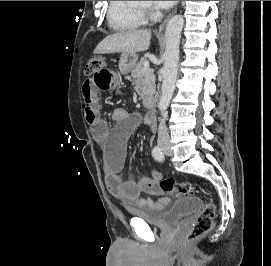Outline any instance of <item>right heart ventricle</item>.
<instances>
[{
	"instance_id": "1",
	"label": "right heart ventricle",
	"mask_w": 271,
	"mask_h": 266,
	"mask_svg": "<svg viewBox=\"0 0 271 266\" xmlns=\"http://www.w3.org/2000/svg\"><path fill=\"white\" fill-rule=\"evenodd\" d=\"M108 23L117 31H130L139 28L145 22L143 11L130 1H109Z\"/></svg>"
}]
</instances>
